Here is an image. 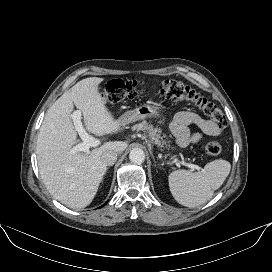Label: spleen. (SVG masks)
<instances>
[{
    "instance_id": "obj_1",
    "label": "spleen",
    "mask_w": 272,
    "mask_h": 272,
    "mask_svg": "<svg viewBox=\"0 0 272 272\" xmlns=\"http://www.w3.org/2000/svg\"><path fill=\"white\" fill-rule=\"evenodd\" d=\"M230 169L228 161L219 159L207 163L198 172L173 171L168 177L171 194L183 206L199 207L208 202L214 191L221 187Z\"/></svg>"
}]
</instances>
